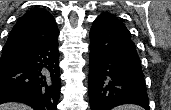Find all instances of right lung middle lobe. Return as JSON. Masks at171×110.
<instances>
[{"label":"right lung middle lobe","instance_id":"1","mask_svg":"<svg viewBox=\"0 0 171 110\" xmlns=\"http://www.w3.org/2000/svg\"><path fill=\"white\" fill-rule=\"evenodd\" d=\"M22 60L21 54L1 56L0 58V70L9 68Z\"/></svg>","mask_w":171,"mask_h":110}]
</instances>
